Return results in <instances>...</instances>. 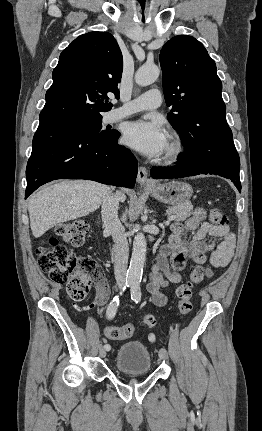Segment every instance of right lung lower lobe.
Instances as JSON below:
<instances>
[{"instance_id":"98d812e1","label":"right lung lower lobe","mask_w":262,"mask_h":431,"mask_svg":"<svg viewBox=\"0 0 262 431\" xmlns=\"http://www.w3.org/2000/svg\"><path fill=\"white\" fill-rule=\"evenodd\" d=\"M119 136L117 131L100 137L64 124H39L26 168L25 199L41 185L62 178L133 188L138 164L117 144Z\"/></svg>"}]
</instances>
